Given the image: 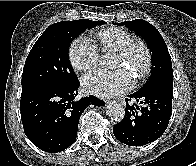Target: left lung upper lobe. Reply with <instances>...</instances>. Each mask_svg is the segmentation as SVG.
Masks as SVG:
<instances>
[{"instance_id": "left-lung-upper-lobe-1", "label": "left lung upper lobe", "mask_w": 196, "mask_h": 166, "mask_svg": "<svg viewBox=\"0 0 196 166\" xmlns=\"http://www.w3.org/2000/svg\"><path fill=\"white\" fill-rule=\"evenodd\" d=\"M117 24L125 25L139 34L147 42L152 51L151 77L141 89L148 88L154 84H173L171 56L168 52L166 43L158 30L142 19Z\"/></svg>"}]
</instances>
